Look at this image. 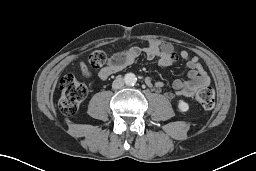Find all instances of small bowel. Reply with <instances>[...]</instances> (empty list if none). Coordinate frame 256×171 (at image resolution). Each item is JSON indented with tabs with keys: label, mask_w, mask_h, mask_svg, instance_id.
Instances as JSON below:
<instances>
[{
	"label": "small bowel",
	"mask_w": 256,
	"mask_h": 171,
	"mask_svg": "<svg viewBox=\"0 0 256 171\" xmlns=\"http://www.w3.org/2000/svg\"><path fill=\"white\" fill-rule=\"evenodd\" d=\"M143 52L148 60L158 59L161 67L166 68L176 62L179 58L186 61L187 76L183 79H174L171 83L172 91L165 92V96L173 99L176 96H192L199 88L207 85L210 78L201 65L197 56H190L187 50H182L179 54L174 51L172 44L159 40H151L144 48L131 47L112 55L105 65L98 71L100 80L108 79L112 74L117 73L131 65L134 60ZM146 84L156 91H161L164 84L146 79Z\"/></svg>",
	"instance_id": "obj_1"
}]
</instances>
